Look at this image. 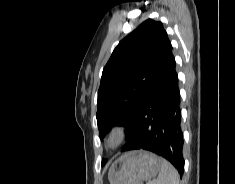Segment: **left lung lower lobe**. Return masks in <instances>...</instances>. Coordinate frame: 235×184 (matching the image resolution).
<instances>
[{
  "label": "left lung lower lobe",
  "instance_id": "obj_1",
  "mask_svg": "<svg viewBox=\"0 0 235 184\" xmlns=\"http://www.w3.org/2000/svg\"><path fill=\"white\" fill-rule=\"evenodd\" d=\"M172 45L165 43L153 83L141 106L135 129L122 152L144 149L172 163L184 172L183 135L180 128L178 76Z\"/></svg>",
  "mask_w": 235,
  "mask_h": 184
}]
</instances>
